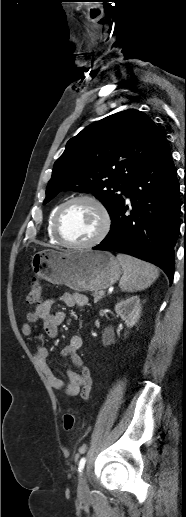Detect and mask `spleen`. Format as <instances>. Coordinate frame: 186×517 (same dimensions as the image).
Here are the masks:
<instances>
[{"instance_id":"spleen-1","label":"spleen","mask_w":186,"mask_h":517,"mask_svg":"<svg viewBox=\"0 0 186 517\" xmlns=\"http://www.w3.org/2000/svg\"><path fill=\"white\" fill-rule=\"evenodd\" d=\"M117 259L123 269L119 286L122 291L137 292L148 288L158 278V269L150 263L144 262L125 254H118Z\"/></svg>"}]
</instances>
